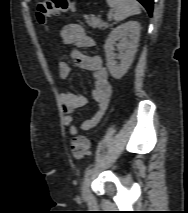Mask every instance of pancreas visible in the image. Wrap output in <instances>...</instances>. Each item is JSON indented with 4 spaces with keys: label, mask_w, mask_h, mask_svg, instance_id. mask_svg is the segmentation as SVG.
Wrapping results in <instances>:
<instances>
[{
    "label": "pancreas",
    "mask_w": 188,
    "mask_h": 213,
    "mask_svg": "<svg viewBox=\"0 0 188 213\" xmlns=\"http://www.w3.org/2000/svg\"><path fill=\"white\" fill-rule=\"evenodd\" d=\"M86 23L93 27V28H99V29H106L110 25L107 23L102 22L99 18H96L95 16H86Z\"/></svg>",
    "instance_id": "cf45deb5"
}]
</instances>
